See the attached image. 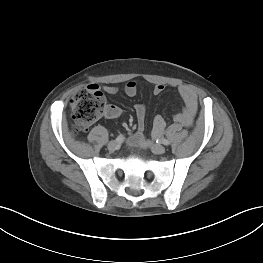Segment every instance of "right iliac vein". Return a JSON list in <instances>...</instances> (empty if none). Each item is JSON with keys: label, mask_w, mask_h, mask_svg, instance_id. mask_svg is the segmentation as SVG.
<instances>
[{"label": "right iliac vein", "mask_w": 263, "mask_h": 263, "mask_svg": "<svg viewBox=\"0 0 263 263\" xmlns=\"http://www.w3.org/2000/svg\"><path fill=\"white\" fill-rule=\"evenodd\" d=\"M118 143L116 141H110L107 145L109 151H115Z\"/></svg>", "instance_id": "63e3f726"}]
</instances>
